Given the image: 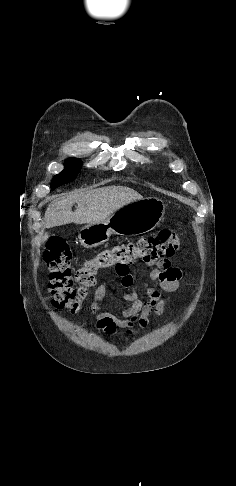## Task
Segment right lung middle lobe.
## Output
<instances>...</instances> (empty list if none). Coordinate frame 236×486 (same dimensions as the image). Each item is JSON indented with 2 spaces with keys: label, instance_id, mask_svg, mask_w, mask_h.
I'll return each instance as SVG.
<instances>
[{
  "label": "right lung middle lobe",
  "instance_id": "right-lung-middle-lobe-1",
  "mask_svg": "<svg viewBox=\"0 0 236 486\" xmlns=\"http://www.w3.org/2000/svg\"><path fill=\"white\" fill-rule=\"evenodd\" d=\"M81 166V161L77 158H70L65 161V169L55 175L51 182V190L57 188L62 184H66L75 179Z\"/></svg>",
  "mask_w": 236,
  "mask_h": 486
}]
</instances>
